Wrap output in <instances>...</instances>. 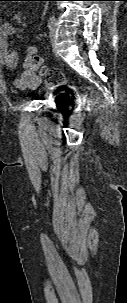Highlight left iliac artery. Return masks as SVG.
I'll return each mask as SVG.
<instances>
[{"mask_svg":"<svg viewBox=\"0 0 127 303\" xmlns=\"http://www.w3.org/2000/svg\"><path fill=\"white\" fill-rule=\"evenodd\" d=\"M56 24V18L54 16H51L48 20V27L49 29H52Z\"/></svg>","mask_w":127,"mask_h":303,"instance_id":"obj_1","label":"left iliac artery"}]
</instances>
